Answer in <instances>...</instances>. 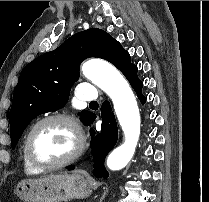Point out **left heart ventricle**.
Returning a JSON list of instances; mask_svg holds the SVG:
<instances>
[{
	"label": "left heart ventricle",
	"mask_w": 209,
	"mask_h": 202,
	"mask_svg": "<svg viewBox=\"0 0 209 202\" xmlns=\"http://www.w3.org/2000/svg\"><path fill=\"white\" fill-rule=\"evenodd\" d=\"M75 145L76 136L69 126L59 121H49L33 133L30 148L38 162L50 164L67 157Z\"/></svg>",
	"instance_id": "b2bd125f"
}]
</instances>
